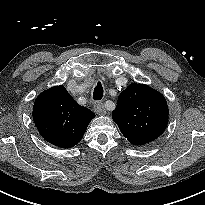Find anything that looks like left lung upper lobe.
Masks as SVG:
<instances>
[{"mask_svg":"<svg viewBox=\"0 0 205 205\" xmlns=\"http://www.w3.org/2000/svg\"><path fill=\"white\" fill-rule=\"evenodd\" d=\"M112 118L122 134L134 145L157 139L168 124L165 97L144 84H130L118 97Z\"/></svg>","mask_w":205,"mask_h":205,"instance_id":"5c2ea615","label":"left lung upper lobe"}]
</instances>
